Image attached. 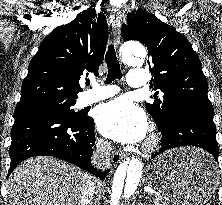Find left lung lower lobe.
Wrapping results in <instances>:
<instances>
[{"label":"left lung lower lobe","mask_w":222,"mask_h":205,"mask_svg":"<svg viewBox=\"0 0 222 205\" xmlns=\"http://www.w3.org/2000/svg\"><path fill=\"white\" fill-rule=\"evenodd\" d=\"M214 111L199 107L183 108L176 112L171 122L159 128L163 135L161 148L152 158L168 149L180 146H196L209 152L210 161L218 162L216 127L213 122Z\"/></svg>","instance_id":"0a47b994"}]
</instances>
